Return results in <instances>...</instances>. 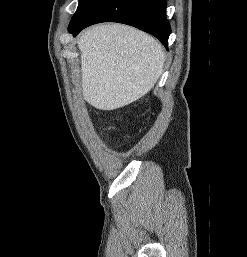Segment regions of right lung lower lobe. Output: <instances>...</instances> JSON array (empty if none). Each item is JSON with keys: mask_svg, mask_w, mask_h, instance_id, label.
Here are the masks:
<instances>
[{"mask_svg": "<svg viewBox=\"0 0 247 257\" xmlns=\"http://www.w3.org/2000/svg\"><path fill=\"white\" fill-rule=\"evenodd\" d=\"M166 6L165 0H95L79 21L69 25L68 31L76 36L95 23L119 22L154 35L167 47L171 27Z\"/></svg>", "mask_w": 247, "mask_h": 257, "instance_id": "obj_1", "label": "right lung lower lobe"}]
</instances>
